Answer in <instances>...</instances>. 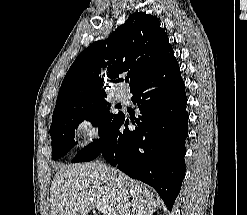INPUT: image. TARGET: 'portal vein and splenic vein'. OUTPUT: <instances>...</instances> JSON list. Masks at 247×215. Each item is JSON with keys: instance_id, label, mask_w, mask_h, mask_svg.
<instances>
[{"instance_id": "obj_1", "label": "portal vein and splenic vein", "mask_w": 247, "mask_h": 215, "mask_svg": "<svg viewBox=\"0 0 247 215\" xmlns=\"http://www.w3.org/2000/svg\"><path fill=\"white\" fill-rule=\"evenodd\" d=\"M97 208L100 211L107 212V208H106V206L102 202H98L97 203Z\"/></svg>"}]
</instances>
